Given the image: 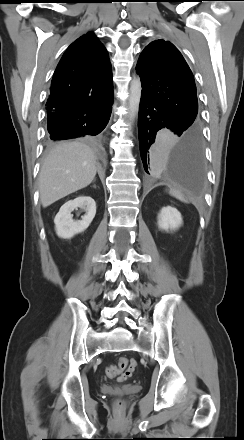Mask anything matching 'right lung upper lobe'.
Listing matches in <instances>:
<instances>
[{"label":"right lung upper lobe","mask_w":244,"mask_h":440,"mask_svg":"<svg viewBox=\"0 0 244 440\" xmlns=\"http://www.w3.org/2000/svg\"><path fill=\"white\" fill-rule=\"evenodd\" d=\"M112 96L107 50L88 32L67 48L54 72L47 116L91 110Z\"/></svg>","instance_id":"right-lung-upper-lobe-1"}]
</instances>
